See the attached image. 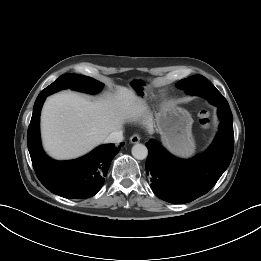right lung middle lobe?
<instances>
[{
	"instance_id": "obj_1",
	"label": "right lung middle lobe",
	"mask_w": 261,
	"mask_h": 261,
	"mask_svg": "<svg viewBox=\"0 0 261 261\" xmlns=\"http://www.w3.org/2000/svg\"><path fill=\"white\" fill-rule=\"evenodd\" d=\"M59 86L62 89L71 87L72 89L78 91L96 93L101 90L103 84L91 77L78 74H64L60 76L56 81H54L51 85L46 87L44 91H51Z\"/></svg>"
}]
</instances>
